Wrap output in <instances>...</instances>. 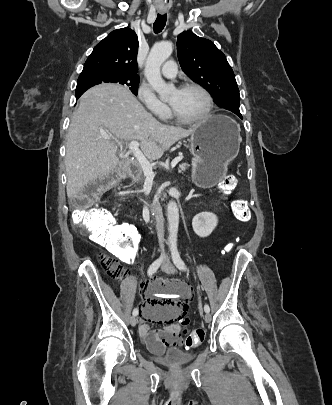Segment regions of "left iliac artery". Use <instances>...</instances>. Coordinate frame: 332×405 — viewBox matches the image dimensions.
Returning <instances> with one entry per match:
<instances>
[{
  "instance_id": "1",
  "label": "left iliac artery",
  "mask_w": 332,
  "mask_h": 405,
  "mask_svg": "<svg viewBox=\"0 0 332 405\" xmlns=\"http://www.w3.org/2000/svg\"><path fill=\"white\" fill-rule=\"evenodd\" d=\"M171 254H172V260H173L174 264L176 265V267L182 271H185L186 265H185L184 261L181 259L178 249L176 247H173L171 249ZM204 311L206 313L210 312V307L208 304L204 305Z\"/></svg>"
}]
</instances>
